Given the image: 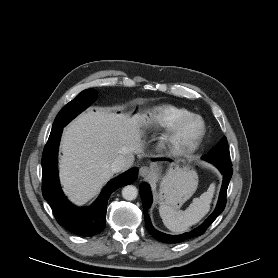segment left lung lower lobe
<instances>
[{"instance_id":"1","label":"left lung lower lobe","mask_w":278,"mask_h":278,"mask_svg":"<svg viewBox=\"0 0 278 278\" xmlns=\"http://www.w3.org/2000/svg\"><path fill=\"white\" fill-rule=\"evenodd\" d=\"M214 165L223 174V183H222V188L220 191V196H219L217 207H216L215 211L205 220V222L203 224H201L199 227L195 228L194 230H192L189 233L172 236V235L162 233V232L156 230L152 226L150 218L147 214V210L152 204V194L150 191V187L147 183L141 184L140 195H141V199H142V203H143L146 228H147L148 232L155 239L159 240L160 242H164V243H180L187 239L200 236L206 231V229L209 227V225L222 213V211L224 210L225 205H226V192H227V188H228L230 179L232 177L233 171H232L231 166L218 165V164H214Z\"/></svg>"}]
</instances>
